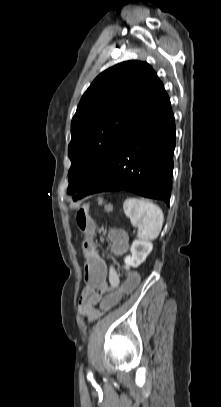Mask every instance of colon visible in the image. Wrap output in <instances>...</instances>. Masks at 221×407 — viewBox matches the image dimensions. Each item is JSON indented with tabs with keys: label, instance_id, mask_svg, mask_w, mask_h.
<instances>
[{
	"label": "colon",
	"instance_id": "1",
	"mask_svg": "<svg viewBox=\"0 0 221 407\" xmlns=\"http://www.w3.org/2000/svg\"><path fill=\"white\" fill-rule=\"evenodd\" d=\"M76 222L84 234L83 253L85 255L84 284L88 286L89 292H98L99 286H107L109 269L105 258H102L101 252L96 251L94 242L95 224L89 213V206L83 205L76 214ZM111 249L114 253H121L127 245L126 235L118 230H111L109 233ZM140 283V276L136 270L129 268L128 276L123 285H117L103 295L99 301L102 313H110L112 308H116L132 291H137Z\"/></svg>",
	"mask_w": 221,
	"mask_h": 407
}]
</instances>
